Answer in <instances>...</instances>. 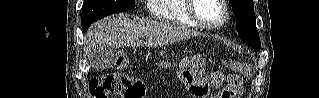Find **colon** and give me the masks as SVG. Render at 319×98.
Returning <instances> with one entry per match:
<instances>
[{
    "label": "colon",
    "mask_w": 319,
    "mask_h": 98,
    "mask_svg": "<svg viewBox=\"0 0 319 98\" xmlns=\"http://www.w3.org/2000/svg\"><path fill=\"white\" fill-rule=\"evenodd\" d=\"M115 63L119 69L127 66V56L123 51L118 52ZM238 68L243 74L249 72L247 64H239ZM240 91L241 80L235 78L232 84L220 92L216 98H237ZM89 94L91 98H144L146 89L139 79L131 78L123 73H106L90 81Z\"/></svg>",
    "instance_id": "1"
}]
</instances>
